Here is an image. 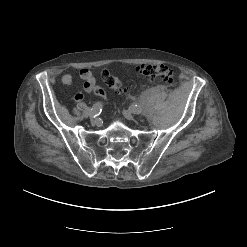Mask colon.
Here are the masks:
<instances>
[{
    "label": "colon",
    "mask_w": 247,
    "mask_h": 247,
    "mask_svg": "<svg viewBox=\"0 0 247 247\" xmlns=\"http://www.w3.org/2000/svg\"><path fill=\"white\" fill-rule=\"evenodd\" d=\"M136 72L165 87L172 85L175 78L173 70L165 65H141L136 68ZM102 78L116 92L123 93L126 91V86L123 82L119 78L110 75L107 70L102 71ZM94 93L98 96L106 97L105 90L100 87H96Z\"/></svg>",
    "instance_id": "1"
}]
</instances>
